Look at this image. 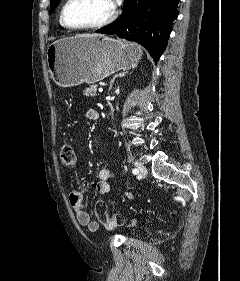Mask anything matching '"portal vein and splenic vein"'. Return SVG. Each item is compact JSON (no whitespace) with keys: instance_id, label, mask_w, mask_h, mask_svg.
<instances>
[{"instance_id":"1","label":"portal vein and splenic vein","mask_w":240,"mask_h":281,"mask_svg":"<svg viewBox=\"0 0 240 281\" xmlns=\"http://www.w3.org/2000/svg\"><path fill=\"white\" fill-rule=\"evenodd\" d=\"M98 90H99V92H103V88L102 87H100Z\"/></svg>"}]
</instances>
